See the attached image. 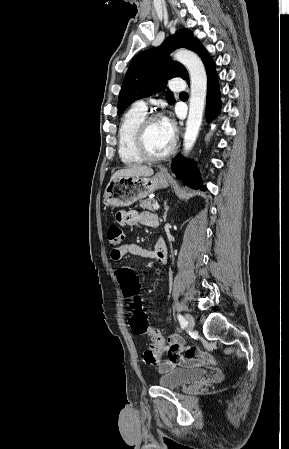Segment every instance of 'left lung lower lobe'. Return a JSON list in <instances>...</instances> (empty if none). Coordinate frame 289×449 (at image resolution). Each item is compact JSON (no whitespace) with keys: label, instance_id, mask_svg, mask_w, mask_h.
<instances>
[{"label":"left lung lower lobe","instance_id":"1","mask_svg":"<svg viewBox=\"0 0 289 449\" xmlns=\"http://www.w3.org/2000/svg\"><path fill=\"white\" fill-rule=\"evenodd\" d=\"M208 76V91H207V105H206V119L211 122L215 119L221 109L220 91L218 85V76L215 70L214 62L205 55L202 58ZM172 170L177 178L182 180L191 188L206 190V186L202 185L200 173L195 167L193 161L185 160L181 155H177L172 162Z\"/></svg>","mask_w":289,"mask_h":449}]
</instances>
